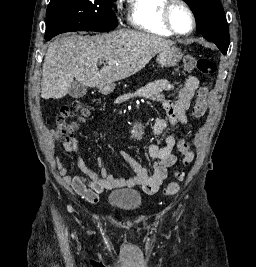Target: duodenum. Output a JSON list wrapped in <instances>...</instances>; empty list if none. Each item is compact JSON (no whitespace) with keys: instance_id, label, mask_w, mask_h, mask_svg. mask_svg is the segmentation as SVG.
I'll use <instances>...</instances> for the list:
<instances>
[{"instance_id":"obj_1","label":"duodenum","mask_w":256,"mask_h":267,"mask_svg":"<svg viewBox=\"0 0 256 267\" xmlns=\"http://www.w3.org/2000/svg\"><path fill=\"white\" fill-rule=\"evenodd\" d=\"M116 78H107V81H102V85H97V94H115Z\"/></svg>"}]
</instances>
